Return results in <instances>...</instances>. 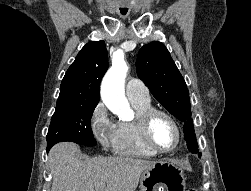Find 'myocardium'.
I'll return each mask as SVG.
<instances>
[{
	"label": "myocardium",
	"mask_w": 251,
	"mask_h": 191,
	"mask_svg": "<svg viewBox=\"0 0 251 191\" xmlns=\"http://www.w3.org/2000/svg\"><path fill=\"white\" fill-rule=\"evenodd\" d=\"M157 115H163L168 119H170L175 129L177 130L179 136V142L173 151L170 152L161 151L157 148V146L153 142L151 135V128H152V123ZM139 121L144 142L156 155H161V156L172 155L178 152L182 148L184 144V133L179 122L177 121L175 116L172 115L170 112L162 109L150 108L140 114Z\"/></svg>",
	"instance_id": "f54148a6"
}]
</instances>
